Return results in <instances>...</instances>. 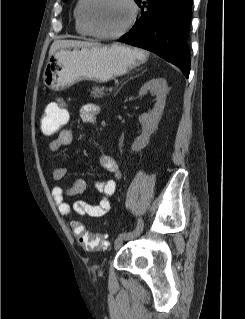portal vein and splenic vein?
I'll return each instance as SVG.
<instances>
[{"label":"portal vein and splenic vein","instance_id":"obj_1","mask_svg":"<svg viewBox=\"0 0 245 319\" xmlns=\"http://www.w3.org/2000/svg\"><path fill=\"white\" fill-rule=\"evenodd\" d=\"M108 91H109V92H112V91H113V87H109V88H108Z\"/></svg>","mask_w":245,"mask_h":319}]
</instances>
